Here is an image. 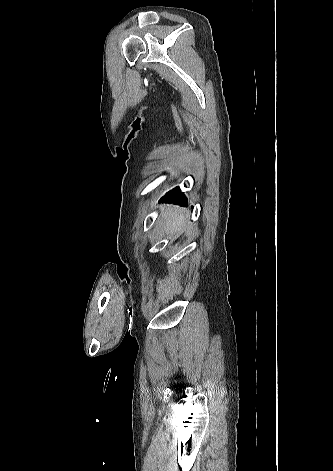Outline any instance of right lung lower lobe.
<instances>
[{"mask_svg":"<svg viewBox=\"0 0 333 471\" xmlns=\"http://www.w3.org/2000/svg\"><path fill=\"white\" fill-rule=\"evenodd\" d=\"M161 201L174 202L182 206H187V199L185 198L184 194L181 193L178 187L166 193Z\"/></svg>","mask_w":333,"mask_h":471,"instance_id":"obj_1","label":"right lung lower lobe"}]
</instances>
